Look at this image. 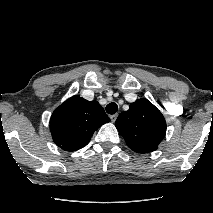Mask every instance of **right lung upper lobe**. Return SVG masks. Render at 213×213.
I'll return each mask as SVG.
<instances>
[{"mask_svg":"<svg viewBox=\"0 0 213 213\" xmlns=\"http://www.w3.org/2000/svg\"><path fill=\"white\" fill-rule=\"evenodd\" d=\"M109 121L97 101L75 95L54 110L50 131L57 146L65 151H76L86 146L93 133Z\"/></svg>","mask_w":213,"mask_h":213,"instance_id":"right-lung-upper-lobe-1","label":"right lung upper lobe"}]
</instances>
